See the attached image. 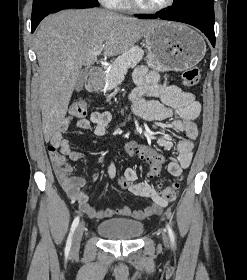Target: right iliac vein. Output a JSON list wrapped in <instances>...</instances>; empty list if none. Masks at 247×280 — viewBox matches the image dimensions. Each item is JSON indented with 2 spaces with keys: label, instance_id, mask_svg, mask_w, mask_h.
Returning a JSON list of instances; mask_svg holds the SVG:
<instances>
[{
  "label": "right iliac vein",
  "instance_id": "obj_1",
  "mask_svg": "<svg viewBox=\"0 0 247 280\" xmlns=\"http://www.w3.org/2000/svg\"><path fill=\"white\" fill-rule=\"evenodd\" d=\"M83 232H84V222H81L77 226V228L75 230V233H74V237H73V240H72V248H71L72 253H77L78 252Z\"/></svg>",
  "mask_w": 247,
  "mask_h": 280
}]
</instances>
